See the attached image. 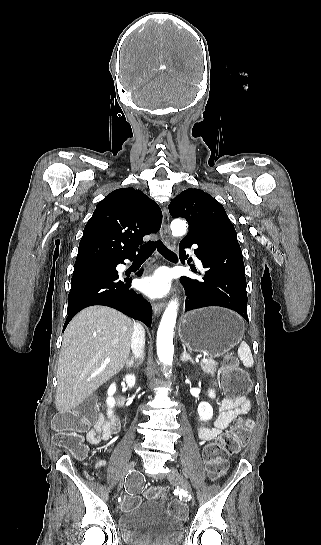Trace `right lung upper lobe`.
Wrapping results in <instances>:
<instances>
[{
    "instance_id": "right-lung-upper-lobe-1",
    "label": "right lung upper lobe",
    "mask_w": 321,
    "mask_h": 545,
    "mask_svg": "<svg viewBox=\"0 0 321 545\" xmlns=\"http://www.w3.org/2000/svg\"><path fill=\"white\" fill-rule=\"evenodd\" d=\"M161 222L159 206L142 191L129 187L111 192L84 228L74 268L134 257L143 236L157 232Z\"/></svg>"
}]
</instances>
